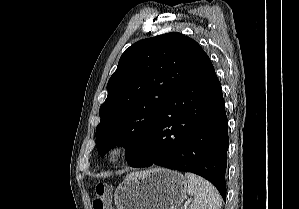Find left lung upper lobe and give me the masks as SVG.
I'll use <instances>...</instances> for the list:
<instances>
[{
	"mask_svg": "<svg viewBox=\"0 0 299 209\" xmlns=\"http://www.w3.org/2000/svg\"><path fill=\"white\" fill-rule=\"evenodd\" d=\"M210 63L193 39L172 32L131 45L108 81L96 145L103 157L115 146L131 162L143 147L167 101Z\"/></svg>",
	"mask_w": 299,
	"mask_h": 209,
	"instance_id": "1",
	"label": "left lung upper lobe"
}]
</instances>
